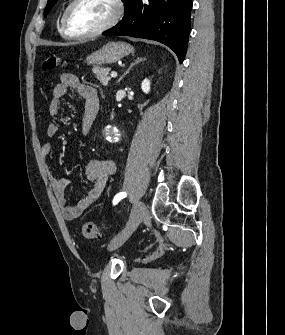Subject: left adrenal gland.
<instances>
[{
  "label": "left adrenal gland",
  "instance_id": "obj_1",
  "mask_svg": "<svg viewBox=\"0 0 285 335\" xmlns=\"http://www.w3.org/2000/svg\"><path fill=\"white\" fill-rule=\"evenodd\" d=\"M146 58H136V60H134V62H132L131 66H129L127 72H124L123 76H121V78H119V80H117L116 84H118V82H121L122 78H125L126 74H129L131 68H133V66H136V64H139V62H145Z\"/></svg>",
  "mask_w": 285,
  "mask_h": 335
}]
</instances>
